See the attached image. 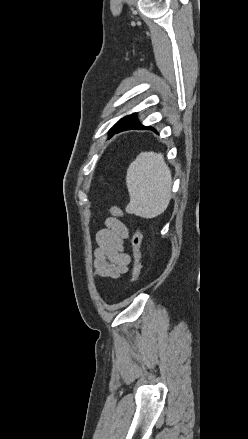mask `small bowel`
Masks as SVG:
<instances>
[{
  "instance_id": "1",
  "label": "small bowel",
  "mask_w": 248,
  "mask_h": 439,
  "mask_svg": "<svg viewBox=\"0 0 248 439\" xmlns=\"http://www.w3.org/2000/svg\"><path fill=\"white\" fill-rule=\"evenodd\" d=\"M109 213L103 228L96 235L97 246L93 251V267L96 276L115 279L128 271L131 262V257L124 248L129 230L122 221L124 213L120 208L111 206Z\"/></svg>"
}]
</instances>
